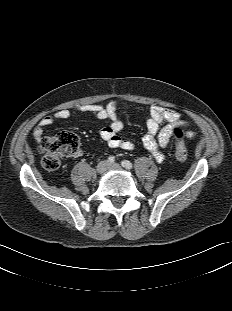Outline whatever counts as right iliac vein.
I'll list each match as a JSON object with an SVG mask.
<instances>
[{
    "label": "right iliac vein",
    "mask_w": 232,
    "mask_h": 311,
    "mask_svg": "<svg viewBox=\"0 0 232 311\" xmlns=\"http://www.w3.org/2000/svg\"><path fill=\"white\" fill-rule=\"evenodd\" d=\"M109 167V164L107 161H101L97 167H96V171L99 173V174H102L104 173Z\"/></svg>",
    "instance_id": "1"
}]
</instances>
